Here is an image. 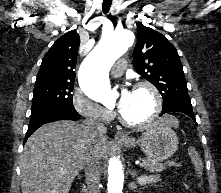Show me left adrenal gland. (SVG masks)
Returning a JSON list of instances; mask_svg holds the SVG:
<instances>
[{"mask_svg":"<svg viewBox=\"0 0 221 193\" xmlns=\"http://www.w3.org/2000/svg\"><path fill=\"white\" fill-rule=\"evenodd\" d=\"M129 166H130V165H129ZM128 173L132 176V178H135V177H137V175H138V172L131 171V169L128 170Z\"/></svg>","mask_w":221,"mask_h":193,"instance_id":"left-adrenal-gland-1","label":"left adrenal gland"}]
</instances>
